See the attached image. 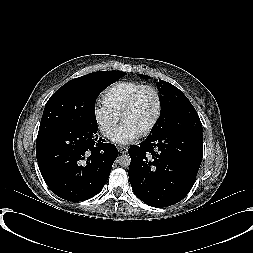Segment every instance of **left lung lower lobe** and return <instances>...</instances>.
<instances>
[{
  "instance_id": "1",
  "label": "left lung lower lobe",
  "mask_w": 253,
  "mask_h": 253,
  "mask_svg": "<svg viewBox=\"0 0 253 253\" xmlns=\"http://www.w3.org/2000/svg\"><path fill=\"white\" fill-rule=\"evenodd\" d=\"M203 150V133L177 130L148 137L129 148V180L135 195L152 207L181 201L194 185Z\"/></svg>"
}]
</instances>
